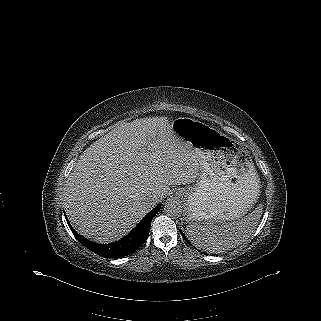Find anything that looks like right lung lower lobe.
I'll return each mask as SVG.
<instances>
[{
  "label": "right lung lower lobe",
  "mask_w": 321,
  "mask_h": 321,
  "mask_svg": "<svg viewBox=\"0 0 321 321\" xmlns=\"http://www.w3.org/2000/svg\"><path fill=\"white\" fill-rule=\"evenodd\" d=\"M161 205L156 206L152 209L140 222L139 224L123 239L109 244H98L90 241L79 234L71 227L67 217V223L74 234L75 238L86 248L96 253L99 256L105 258H120L127 256L136 251L143 242L148 238L151 221L154 216L158 213Z\"/></svg>",
  "instance_id": "right-lung-lower-lobe-1"
}]
</instances>
